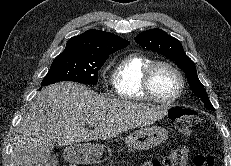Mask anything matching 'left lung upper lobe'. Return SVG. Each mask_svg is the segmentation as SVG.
<instances>
[{"label": "left lung upper lobe", "mask_w": 231, "mask_h": 166, "mask_svg": "<svg viewBox=\"0 0 231 166\" xmlns=\"http://www.w3.org/2000/svg\"><path fill=\"white\" fill-rule=\"evenodd\" d=\"M135 41L143 48L164 55L174 61L187 77L192 92L200 98L205 108L215 110L206 90L197 76L194 62L185 54L182 44L176 38L160 29H149L135 37Z\"/></svg>", "instance_id": "5c2ea615"}]
</instances>
